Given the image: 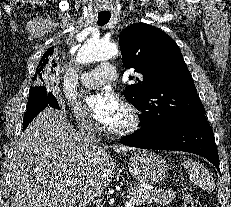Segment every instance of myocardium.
Segmentation results:
<instances>
[{"mask_svg":"<svg viewBox=\"0 0 231 207\" xmlns=\"http://www.w3.org/2000/svg\"><path fill=\"white\" fill-rule=\"evenodd\" d=\"M123 108L128 114L129 121L125 126L117 128V129L105 127L104 131L109 136L124 137V136L131 135L140 129L142 119H141L138 109L134 105L128 102L124 103Z\"/></svg>","mask_w":231,"mask_h":207,"instance_id":"1","label":"myocardium"}]
</instances>
